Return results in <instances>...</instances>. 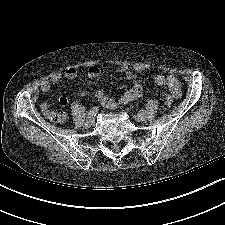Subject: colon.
<instances>
[{"mask_svg": "<svg viewBox=\"0 0 225 225\" xmlns=\"http://www.w3.org/2000/svg\"><path fill=\"white\" fill-rule=\"evenodd\" d=\"M173 103V99H172V96L170 95H165L164 96V107L165 108H170L171 105ZM50 119L54 122H62L63 119H64V115L57 112V111H53L52 113H50L49 115Z\"/></svg>", "mask_w": 225, "mask_h": 225, "instance_id": "obj_1", "label": "colon"}]
</instances>
